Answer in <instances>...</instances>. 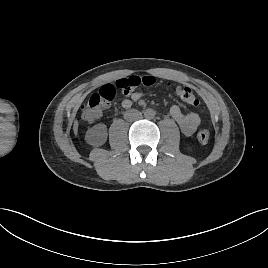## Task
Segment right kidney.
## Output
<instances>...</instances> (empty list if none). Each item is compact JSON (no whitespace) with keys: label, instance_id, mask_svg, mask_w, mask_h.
I'll return each instance as SVG.
<instances>
[{"label":"right kidney","instance_id":"obj_1","mask_svg":"<svg viewBox=\"0 0 268 268\" xmlns=\"http://www.w3.org/2000/svg\"><path fill=\"white\" fill-rule=\"evenodd\" d=\"M85 140L88 144L93 146H101L107 140V128L104 124H97L90 128L86 135Z\"/></svg>","mask_w":268,"mask_h":268}]
</instances>
